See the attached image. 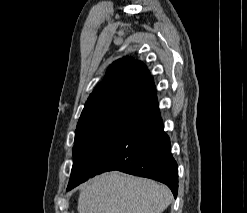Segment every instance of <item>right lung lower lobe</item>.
<instances>
[{
  "instance_id": "1",
  "label": "right lung lower lobe",
  "mask_w": 247,
  "mask_h": 213,
  "mask_svg": "<svg viewBox=\"0 0 247 213\" xmlns=\"http://www.w3.org/2000/svg\"><path fill=\"white\" fill-rule=\"evenodd\" d=\"M170 148L154 95L131 106L116 140L98 160L96 174L119 170L151 178L166 184L176 197L178 167Z\"/></svg>"
}]
</instances>
